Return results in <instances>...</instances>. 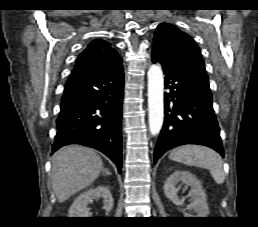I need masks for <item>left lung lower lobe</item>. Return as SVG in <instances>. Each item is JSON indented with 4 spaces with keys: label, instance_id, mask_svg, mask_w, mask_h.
<instances>
[{
    "label": "left lung lower lobe",
    "instance_id": "left-lung-lower-lobe-1",
    "mask_svg": "<svg viewBox=\"0 0 258 227\" xmlns=\"http://www.w3.org/2000/svg\"><path fill=\"white\" fill-rule=\"evenodd\" d=\"M152 62L162 65L165 86L170 89V93H165L164 125L154 150V162L183 144L208 146L224 156L208 79L156 53H152Z\"/></svg>",
    "mask_w": 258,
    "mask_h": 227
}]
</instances>
